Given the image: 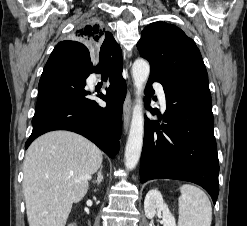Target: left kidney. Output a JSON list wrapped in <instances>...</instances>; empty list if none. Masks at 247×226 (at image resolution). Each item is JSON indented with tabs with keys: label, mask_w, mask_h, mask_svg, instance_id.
<instances>
[{
	"label": "left kidney",
	"mask_w": 247,
	"mask_h": 226,
	"mask_svg": "<svg viewBox=\"0 0 247 226\" xmlns=\"http://www.w3.org/2000/svg\"><path fill=\"white\" fill-rule=\"evenodd\" d=\"M145 216L148 219H153L157 213L162 212L163 226H176L174 216L169 211L168 206L164 203L160 191L150 190L144 200Z\"/></svg>",
	"instance_id": "5707ae66"
}]
</instances>
